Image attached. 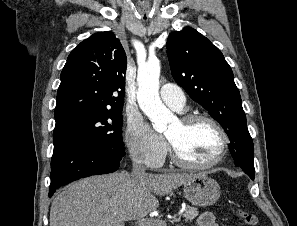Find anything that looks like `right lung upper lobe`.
I'll return each instance as SVG.
<instances>
[{
    "mask_svg": "<svg viewBox=\"0 0 297 226\" xmlns=\"http://www.w3.org/2000/svg\"><path fill=\"white\" fill-rule=\"evenodd\" d=\"M126 67V53L112 32L81 42L61 72L55 120L84 111L123 110Z\"/></svg>",
    "mask_w": 297,
    "mask_h": 226,
    "instance_id": "1",
    "label": "right lung upper lobe"
}]
</instances>
